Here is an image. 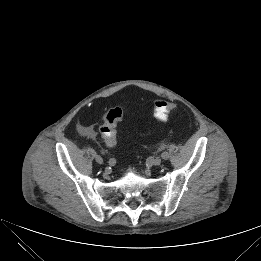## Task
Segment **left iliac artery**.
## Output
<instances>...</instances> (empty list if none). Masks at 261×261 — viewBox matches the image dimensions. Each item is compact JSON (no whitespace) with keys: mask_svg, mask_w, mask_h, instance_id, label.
I'll return each mask as SVG.
<instances>
[{"mask_svg":"<svg viewBox=\"0 0 261 261\" xmlns=\"http://www.w3.org/2000/svg\"><path fill=\"white\" fill-rule=\"evenodd\" d=\"M161 157L164 159V160H167L169 158V153L167 151H162L161 152Z\"/></svg>","mask_w":261,"mask_h":261,"instance_id":"left-iliac-artery-1","label":"left iliac artery"}]
</instances>
